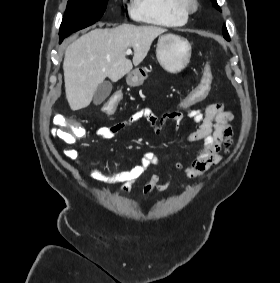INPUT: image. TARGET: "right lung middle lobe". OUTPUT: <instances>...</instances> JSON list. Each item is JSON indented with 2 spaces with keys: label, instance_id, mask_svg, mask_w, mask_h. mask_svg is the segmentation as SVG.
<instances>
[{
  "label": "right lung middle lobe",
  "instance_id": "dd1d6c3e",
  "mask_svg": "<svg viewBox=\"0 0 280 283\" xmlns=\"http://www.w3.org/2000/svg\"><path fill=\"white\" fill-rule=\"evenodd\" d=\"M108 0H69L60 26V42L71 33L98 21L106 10Z\"/></svg>",
  "mask_w": 280,
  "mask_h": 283
}]
</instances>
